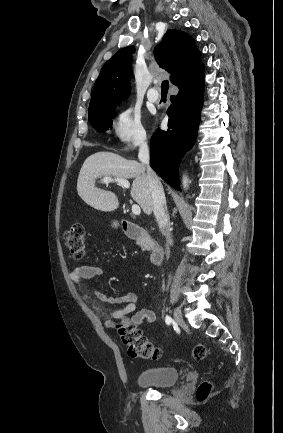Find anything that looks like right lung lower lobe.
Listing matches in <instances>:
<instances>
[{"instance_id": "1", "label": "right lung lower lobe", "mask_w": 283, "mask_h": 433, "mask_svg": "<svg viewBox=\"0 0 283 433\" xmlns=\"http://www.w3.org/2000/svg\"><path fill=\"white\" fill-rule=\"evenodd\" d=\"M204 76L187 86L179 87L171 96L167 114L169 129H157L151 138V167L160 177L179 190L178 166L182 156L193 146L198 132L203 104Z\"/></svg>"}]
</instances>
